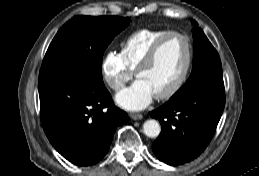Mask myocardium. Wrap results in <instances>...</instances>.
Here are the masks:
<instances>
[{"label": "myocardium", "mask_w": 259, "mask_h": 176, "mask_svg": "<svg viewBox=\"0 0 259 176\" xmlns=\"http://www.w3.org/2000/svg\"><path fill=\"white\" fill-rule=\"evenodd\" d=\"M172 36H178L185 40L187 50L186 62L176 81L166 91L155 95V98L158 100H165L174 96L181 89L187 79L193 61V44L189 36L178 31H168L152 45L148 53L145 55V57L135 70V76L138 77L140 72L147 69L155 61L163 43Z\"/></svg>", "instance_id": "f54148a6"}]
</instances>
